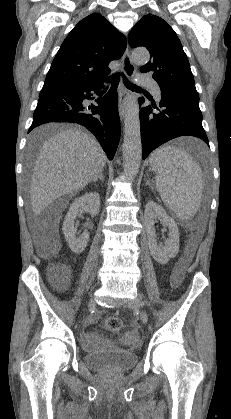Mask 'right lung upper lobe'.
Masks as SVG:
<instances>
[{
	"mask_svg": "<svg viewBox=\"0 0 231 419\" xmlns=\"http://www.w3.org/2000/svg\"><path fill=\"white\" fill-rule=\"evenodd\" d=\"M127 41L99 13L82 19L68 34L56 54L43 87L72 88L108 78V64L119 59Z\"/></svg>",
	"mask_w": 231,
	"mask_h": 419,
	"instance_id": "obj_1",
	"label": "right lung upper lobe"
}]
</instances>
